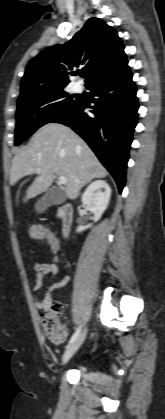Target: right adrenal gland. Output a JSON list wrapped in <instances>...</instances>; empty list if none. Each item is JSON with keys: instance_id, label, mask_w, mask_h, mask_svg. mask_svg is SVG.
Here are the masks:
<instances>
[{"instance_id": "2a0ac1e0", "label": "right adrenal gland", "mask_w": 165, "mask_h": 419, "mask_svg": "<svg viewBox=\"0 0 165 419\" xmlns=\"http://www.w3.org/2000/svg\"><path fill=\"white\" fill-rule=\"evenodd\" d=\"M86 184H87V183H84V184H83V186H84V185H86ZM83 186H82V187H83Z\"/></svg>"}]
</instances>
